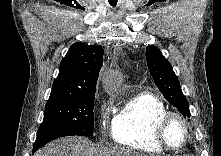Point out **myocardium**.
Returning <instances> with one entry per match:
<instances>
[{
	"label": "myocardium",
	"mask_w": 221,
	"mask_h": 156,
	"mask_svg": "<svg viewBox=\"0 0 221 156\" xmlns=\"http://www.w3.org/2000/svg\"><path fill=\"white\" fill-rule=\"evenodd\" d=\"M173 118H176L179 121H181L185 129V139L182 145L179 147L170 146L165 137L166 127L169 121ZM154 136H155L156 141L159 143V145L162 146L164 149L168 151H172V152H177V151L184 149L189 142L190 125L187 119L180 113L175 112V111H167L157 120L155 124Z\"/></svg>",
	"instance_id": "obj_1"
}]
</instances>
